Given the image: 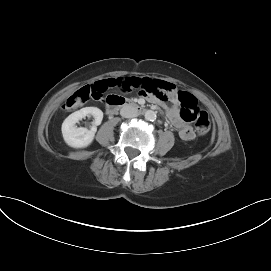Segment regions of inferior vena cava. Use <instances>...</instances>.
<instances>
[{
	"instance_id": "1",
	"label": "inferior vena cava",
	"mask_w": 271,
	"mask_h": 271,
	"mask_svg": "<svg viewBox=\"0 0 271 271\" xmlns=\"http://www.w3.org/2000/svg\"><path fill=\"white\" fill-rule=\"evenodd\" d=\"M120 114L124 118H133L137 116V111L130 105H125L121 108Z\"/></svg>"
}]
</instances>
